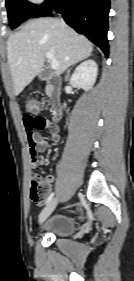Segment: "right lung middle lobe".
I'll return each mask as SVG.
<instances>
[{
    "label": "right lung middle lobe",
    "mask_w": 134,
    "mask_h": 281,
    "mask_svg": "<svg viewBox=\"0 0 134 281\" xmlns=\"http://www.w3.org/2000/svg\"><path fill=\"white\" fill-rule=\"evenodd\" d=\"M8 18L11 28H16L24 20L31 17L36 10V5L26 0H6Z\"/></svg>",
    "instance_id": "1"
}]
</instances>
